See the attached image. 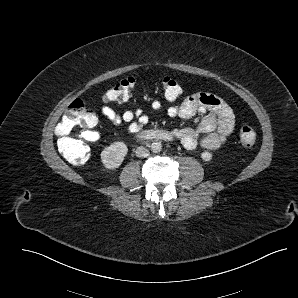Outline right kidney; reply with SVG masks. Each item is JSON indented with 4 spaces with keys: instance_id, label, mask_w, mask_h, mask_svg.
I'll use <instances>...</instances> for the list:
<instances>
[{
    "instance_id": "right-kidney-1",
    "label": "right kidney",
    "mask_w": 298,
    "mask_h": 298,
    "mask_svg": "<svg viewBox=\"0 0 298 298\" xmlns=\"http://www.w3.org/2000/svg\"><path fill=\"white\" fill-rule=\"evenodd\" d=\"M126 153L127 147L123 142H114L102 151V162L107 168L117 167L122 163Z\"/></svg>"
}]
</instances>
